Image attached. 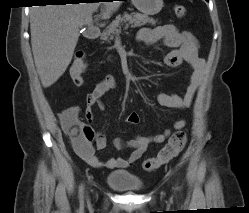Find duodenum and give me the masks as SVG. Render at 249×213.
<instances>
[{"label":"duodenum","instance_id":"obj_1","mask_svg":"<svg viewBox=\"0 0 249 213\" xmlns=\"http://www.w3.org/2000/svg\"><path fill=\"white\" fill-rule=\"evenodd\" d=\"M98 35H99V30L97 29V27H91L85 33L86 39L88 41L96 40Z\"/></svg>","mask_w":249,"mask_h":213}]
</instances>
